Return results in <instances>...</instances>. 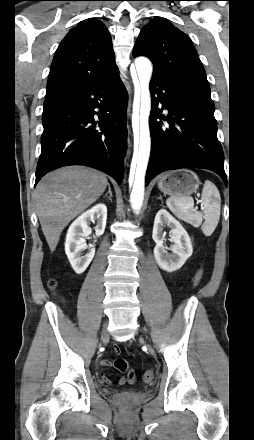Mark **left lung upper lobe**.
I'll list each match as a JSON object with an SVG mask.
<instances>
[{"label": "left lung upper lobe", "instance_id": "obj_1", "mask_svg": "<svg viewBox=\"0 0 254 440\" xmlns=\"http://www.w3.org/2000/svg\"><path fill=\"white\" fill-rule=\"evenodd\" d=\"M148 57L153 73L183 91L193 92L212 101L204 67L191 40L168 20L154 17L145 25L133 50V57Z\"/></svg>", "mask_w": 254, "mask_h": 440}]
</instances>
